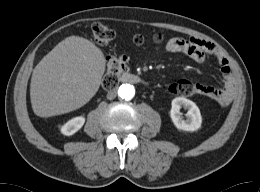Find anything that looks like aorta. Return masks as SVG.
<instances>
[{
	"label": "aorta",
	"instance_id": "obj_1",
	"mask_svg": "<svg viewBox=\"0 0 260 192\" xmlns=\"http://www.w3.org/2000/svg\"><path fill=\"white\" fill-rule=\"evenodd\" d=\"M118 95L125 100H131L135 95V88L131 84H122L118 89Z\"/></svg>",
	"mask_w": 260,
	"mask_h": 192
}]
</instances>
